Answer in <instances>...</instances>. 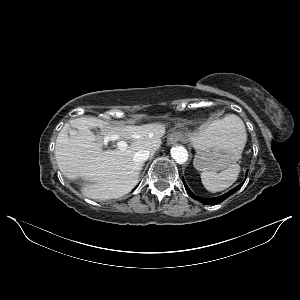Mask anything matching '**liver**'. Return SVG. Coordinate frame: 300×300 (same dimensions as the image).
<instances>
[{"label": "liver", "mask_w": 300, "mask_h": 300, "mask_svg": "<svg viewBox=\"0 0 300 300\" xmlns=\"http://www.w3.org/2000/svg\"><path fill=\"white\" fill-rule=\"evenodd\" d=\"M70 125L76 130H69V125H65L56 139L58 167L67 179H81L82 194L96 200L128 194L137 185L143 167L133 161L134 154L142 149L154 154L165 133L161 123L119 127L95 118L80 117L71 120ZM95 127L104 137L117 135L130 140L131 144L125 150H102L101 137L91 131Z\"/></svg>", "instance_id": "obj_1"}]
</instances>
